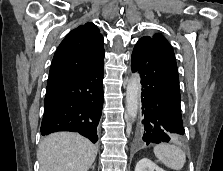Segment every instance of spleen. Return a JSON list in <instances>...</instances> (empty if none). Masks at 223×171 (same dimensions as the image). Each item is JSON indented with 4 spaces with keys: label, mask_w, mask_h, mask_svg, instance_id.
Listing matches in <instances>:
<instances>
[{
    "label": "spleen",
    "mask_w": 223,
    "mask_h": 171,
    "mask_svg": "<svg viewBox=\"0 0 223 171\" xmlns=\"http://www.w3.org/2000/svg\"><path fill=\"white\" fill-rule=\"evenodd\" d=\"M153 151L161 163L173 170H180L186 162L185 153L178 146L159 144L154 147Z\"/></svg>",
    "instance_id": "spleen-1"
}]
</instances>
